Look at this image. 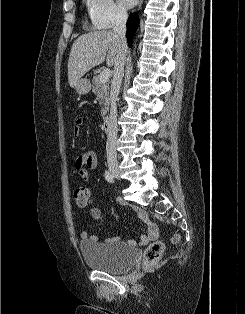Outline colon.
<instances>
[{
  "mask_svg": "<svg viewBox=\"0 0 245 314\" xmlns=\"http://www.w3.org/2000/svg\"><path fill=\"white\" fill-rule=\"evenodd\" d=\"M75 202L79 206H86L91 201V192L86 186H78L73 191ZM178 236H174L172 241L178 242ZM165 251V245L162 241H155L151 243L144 253V266L151 267L159 261Z\"/></svg>",
  "mask_w": 245,
  "mask_h": 314,
  "instance_id": "obj_1",
  "label": "colon"
}]
</instances>
